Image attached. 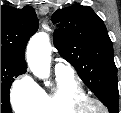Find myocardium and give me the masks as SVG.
Listing matches in <instances>:
<instances>
[{"mask_svg":"<svg viewBox=\"0 0 121 113\" xmlns=\"http://www.w3.org/2000/svg\"><path fill=\"white\" fill-rule=\"evenodd\" d=\"M77 105V109L83 110L85 113H90L91 105H97L101 108L102 113H108V107L105 102L97 97L85 96L78 101Z\"/></svg>","mask_w":121,"mask_h":113,"instance_id":"obj_1","label":"myocardium"}]
</instances>
